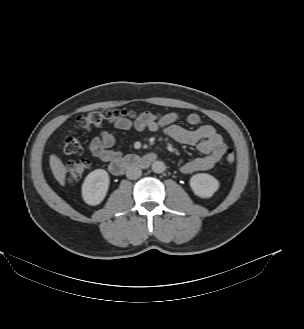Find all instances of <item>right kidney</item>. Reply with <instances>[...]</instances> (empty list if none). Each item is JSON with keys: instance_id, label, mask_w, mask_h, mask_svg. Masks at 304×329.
Segmentation results:
<instances>
[{"instance_id": "1", "label": "right kidney", "mask_w": 304, "mask_h": 329, "mask_svg": "<svg viewBox=\"0 0 304 329\" xmlns=\"http://www.w3.org/2000/svg\"><path fill=\"white\" fill-rule=\"evenodd\" d=\"M109 188V175L104 169L89 173L82 185V197L88 205H98L105 198Z\"/></svg>"}]
</instances>
